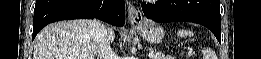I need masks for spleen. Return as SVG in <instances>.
Returning <instances> with one entry per match:
<instances>
[{"mask_svg":"<svg viewBox=\"0 0 261 59\" xmlns=\"http://www.w3.org/2000/svg\"><path fill=\"white\" fill-rule=\"evenodd\" d=\"M179 36H189V37H192L194 35V33L190 30H179L178 33H177ZM203 54H204V59H210V57L212 56V50L210 49H204L203 51Z\"/></svg>","mask_w":261,"mask_h":59,"instance_id":"3e777b00","label":"spleen"}]
</instances>
